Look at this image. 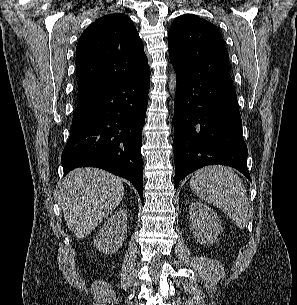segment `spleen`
Listing matches in <instances>:
<instances>
[{
	"instance_id": "obj_1",
	"label": "spleen",
	"mask_w": 297,
	"mask_h": 305,
	"mask_svg": "<svg viewBox=\"0 0 297 305\" xmlns=\"http://www.w3.org/2000/svg\"><path fill=\"white\" fill-rule=\"evenodd\" d=\"M190 187L197 196L221 208L236 226L245 227L249 209L247 192L242 180L231 168H202L192 175Z\"/></svg>"
}]
</instances>
